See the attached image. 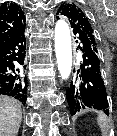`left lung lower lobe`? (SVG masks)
Wrapping results in <instances>:
<instances>
[{
  "mask_svg": "<svg viewBox=\"0 0 117 136\" xmlns=\"http://www.w3.org/2000/svg\"><path fill=\"white\" fill-rule=\"evenodd\" d=\"M73 33L82 53V60L80 68L74 69L66 91L71 115L85 108L103 110L108 114L107 93L98 53L93 49L90 39L85 34L76 30H73Z\"/></svg>",
  "mask_w": 117,
  "mask_h": 136,
  "instance_id": "obj_1",
  "label": "left lung lower lobe"
}]
</instances>
